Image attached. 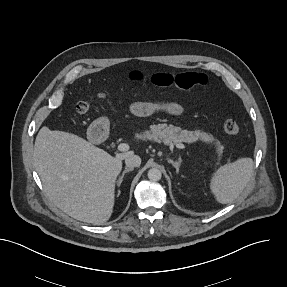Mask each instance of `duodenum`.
<instances>
[{"instance_id":"410a0bca","label":"duodenum","mask_w":287,"mask_h":287,"mask_svg":"<svg viewBox=\"0 0 287 287\" xmlns=\"http://www.w3.org/2000/svg\"><path fill=\"white\" fill-rule=\"evenodd\" d=\"M109 130L106 124L98 123L92 128L91 137L93 139H106L108 136Z\"/></svg>"}]
</instances>
